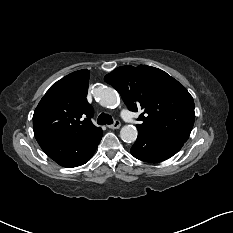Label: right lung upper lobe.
Instances as JSON below:
<instances>
[{
    "label": "right lung upper lobe",
    "instance_id": "cb5924a9",
    "mask_svg": "<svg viewBox=\"0 0 233 233\" xmlns=\"http://www.w3.org/2000/svg\"><path fill=\"white\" fill-rule=\"evenodd\" d=\"M89 70L68 74L53 84L33 115L36 140H79L98 131L90 120L93 109L86 100Z\"/></svg>",
    "mask_w": 233,
    "mask_h": 233
}]
</instances>
